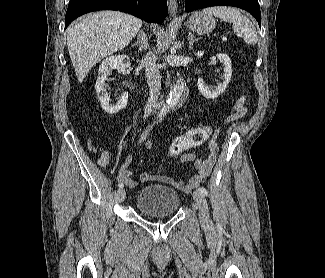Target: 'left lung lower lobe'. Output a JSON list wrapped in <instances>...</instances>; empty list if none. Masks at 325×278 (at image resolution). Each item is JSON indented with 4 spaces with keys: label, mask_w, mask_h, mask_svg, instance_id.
<instances>
[{
    "label": "left lung lower lobe",
    "mask_w": 325,
    "mask_h": 278,
    "mask_svg": "<svg viewBox=\"0 0 325 278\" xmlns=\"http://www.w3.org/2000/svg\"><path fill=\"white\" fill-rule=\"evenodd\" d=\"M219 5L242 8L248 11L258 21L259 26H261V13L258 0H187L185 3V10L186 12H191L194 10Z\"/></svg>",
    "instance_id": "1"
}]
</instances>
